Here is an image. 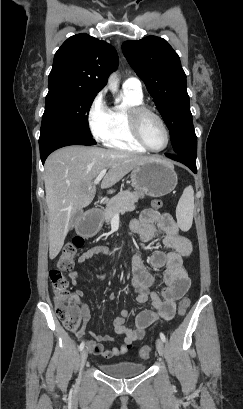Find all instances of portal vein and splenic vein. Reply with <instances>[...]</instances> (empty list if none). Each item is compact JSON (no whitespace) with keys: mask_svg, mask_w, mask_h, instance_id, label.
I'll use <instances>...</instances> for the list:
<instances>
[{"mask_svg":"<svg viewBox=\"0 0 243 409\" xmlns=\"http://www.w3.org/2000/svg\"><path fill=\"white\" fill-rule=\"evenodd\" d=\"M107 172V169H103L100 171V173L98 174V176L96 177V179L94 180V185L99 184V182L102 180V178L105 176Z\"/></svg>","mask_w":243,"mask_h":409,"instance_id":"18ae733b","label":"portal vein and splenic vein"}]
</instances>
